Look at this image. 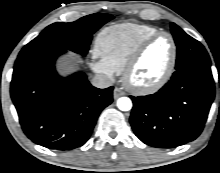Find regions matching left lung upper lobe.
<instances>
[{
	"label": "left lung upper lobe",
	"mask_w": 220,
	"mask_h": 173,
	"mask_svg": "<svg viewBox=\"0 0 220 173\" xmlns=\"http://www.w3.org/2000/svg\"><path fill=\"white\" fill-rule=\"evenodd\" d=\"M171 31L177 45L176 71L198 64H210V58L203 45L171 23Z\"/></svg>",
	"instance_id": "5c2ea615"
}]
</instances>
